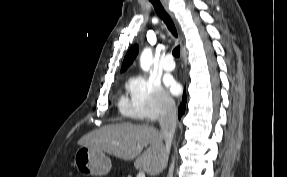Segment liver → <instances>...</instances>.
<instances>
[{
  "label": "liver",
  "instance_id": "liver-1",
  "mask_svg": "<svg viewBox=\"0 0 287 177\" xmlns=\"http://www.w3.org/2000/svg\"><path fill=\"white\" fill-rule=\"evenodd\" d=\"M78 144L123 160L135 159L134 166L150 176L158 174L164 167L163 138L158 129L147 124H109L86 134Z\"/></svg>",
  "mask_w": 287,
  "mask_h": 177
}]
</instances>
